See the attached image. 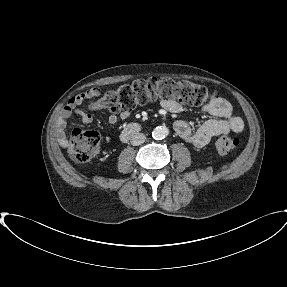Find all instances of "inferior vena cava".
Returning <instances> with one entry per match:
<instances>
[{"mask_svg": "<svg viewBox=\"0 0 287 287\" xmlns=\"http://www.w3.org/2000/svg\"><path fill=\"white\" fill-rule=\"evenodd\" d=\"M146 136L143 133H136L131 137V144L133 146L141 145L145 142Z\"/></svg>", "mask_w": 287, "mask_h": 287, "instance_id": "inferior-vena-cava-1", "label": "inferior vena cava"}]
</instances>
